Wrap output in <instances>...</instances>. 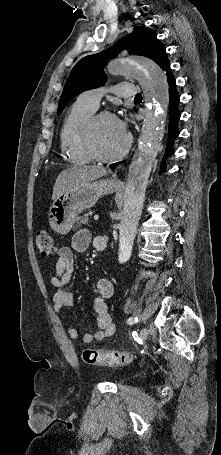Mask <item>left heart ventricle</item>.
Segmentation results:
<instances>
[{"label":"left heart ventricle","mask_w":221,"mask_h":455,"mask_svg":"<svg viewBox=\"0 0 221 455\" xmlns=\"http://www.w3.org/2000/svg\"><path fill=\"white\" fill-rule=\"evenodd\" d=\"M126 137L127 134L121 130L116 118L104 117L95 127L93 144L97 152L109 155L123 147Z\"/></svg>","instance_id":"1"}]
</instances>
